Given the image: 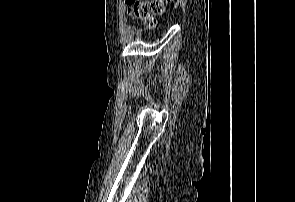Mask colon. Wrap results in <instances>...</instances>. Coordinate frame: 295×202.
Listing matches in <instances>:
<instances>
[{
  "instance_id": "1",
  "label": "colon",
  "mask_w": 295,
  "mask_h": 202,
  "mask_svg": "<svg viewBox=\"0 0 295 202\" xmlns=\"http://www.w3.org/2000/svg\"><path fill=\"white\" fill-rule=\"evenodd\" d=\"M165 1L169 0H129L131 5V15L142 21L148 28H154L156 25V16L165 13Z\"/></svg>"
}]
</instances>
